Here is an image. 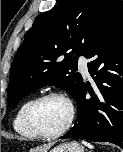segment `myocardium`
<instances>
[{"mask_svg": "<svg viewBox=\"0 0 123 152\" xmlns=\"http://www.w3.org/2000/svg\"><path fill=\"white\" fill-rule=\"evenodd\" d=\"M51 98L61 99L68 105L69 118L66 124L60 130L49 133L40 129V127L36 123L35 117H36V112L39 105L42 102ZM74 119H75V107L72 100L66 94L61 93V92H56V91L45 93L43 95H40L36 99H34L31 105L29 106L27 110V114H26V122L30 130L38 137L45 138V139L58 138L62 136L63 134H65L72 126Z\"/></svg>", "mask_w": 123, "mask_h": 152, "instance_id": "1", "label": "myocardium"}]
</instances>
